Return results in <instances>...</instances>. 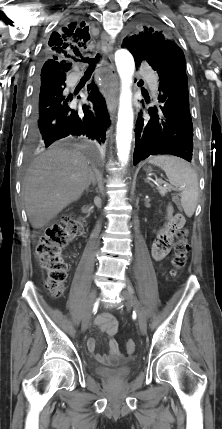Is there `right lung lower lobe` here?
<instances>
[{
    "label": "right lung lower lobe",
    "instance_id": "right-lung-lower-lobe-1",
    "mask_svg": "<svg viewBox=\"0 0 222 429\" xmlns=\"http://www.w3.org/2000/svg\"><path fill=\"white\" fill-rule=\"evenodd\" d=\"M69 68L68 62L48 59L36 80L31 134L45 147L53 143L76 144L83 138L104 142L110 125L105 99L94 82L88 85L93 108L83 105L76 110L68 105L73 99L65 82Z\"/></svg>",
    "mask_w": 222,
    "mask_h": 429
}]
</instances>
